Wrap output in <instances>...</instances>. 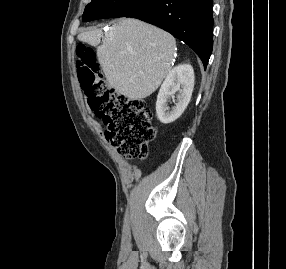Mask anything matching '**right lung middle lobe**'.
<instances>
[{
    "label": "right lung middle lobe",
    "instance_id": "dd1d6c3e",
    "mask_svg": "<svg viewBox=\"0 0 286 269\" xmlns=\"http://www.w3.org/2000/svg\"><path fill=\"white\" fill-rule=\"evenodd\" d=\"M152 0H92L85 8V22L101 18L127 17Z\"/></svg>",
    "mask_w": 286,
    "mask_h": 269
}]
</instances>
